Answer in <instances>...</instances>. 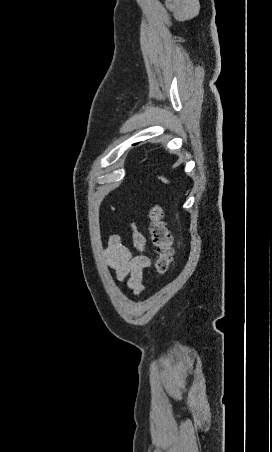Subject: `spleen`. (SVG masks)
I'll return each instance as SVG.
<instances>
[{"label": "spleen", "mask_w": 272, "mask_h": 452, "mask_svg": "<svg viewBox=\"0 0 272 452\" xmlns=\"http://www.w3.org/2000/svg\"><path fill=\"white\" fill-rule=\"evenodd\" d=\"M159 179H161L162 182H164V183H168V180L166 178H164V177H159Z\"/></svg>", "instance_id": "obj_1"}]
</instances>
